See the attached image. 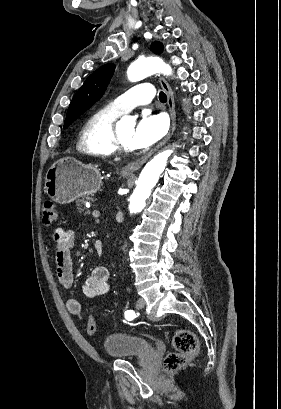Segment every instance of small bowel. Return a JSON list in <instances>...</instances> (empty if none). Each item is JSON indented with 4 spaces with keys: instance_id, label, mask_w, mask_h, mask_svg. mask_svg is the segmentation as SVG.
<instances>
[{
    "instance_id": "c3829d8e",
    "label": "small bowel",
    "mask_w": 281,
    "mask_h": 409,
    "mask_svg": "<svg viewBox=\"0 0 281 409\" xmlns=\"http://www.w3.org/2000/svg\"><path fill=\"white\" fill-rule=\"evenodd\" d=\"M56 275L63 291H69L73 284V259L71 250L74 244V233L70 229L57 228L54 231ZM94 250L101 255L104 250L103 243L94 242ZM110 271L105 266H96L92 269L84 283V293L88 297H98L110 291ZM66 308L71 315L82 317L79 301L73 297L66 298ZM93 319L89 317L88 321Z\"/></svg>"
}]
</instances>
